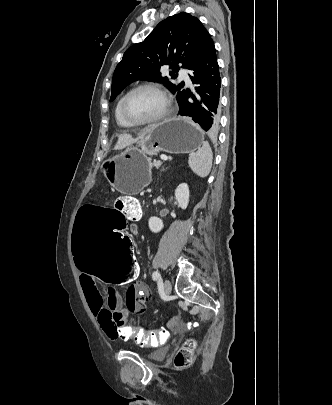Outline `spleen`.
<instances>
[{"mask_svg":"<svg viewBox=\"0 0 332 405\" xmlns=\"http://www.w3.org/2000/svg\"><path fill=\"white\" fill-rule=\"evenodd\" d=\"M213 153L209 143L203 142L202 147L194 154H191L188 159V164L191 170L199 177H206L210 173L212 167Z\"/></svg>","mask_w":332,"mask_h":405,"instance_id":"1","label":"spleen"}]
</instances>
